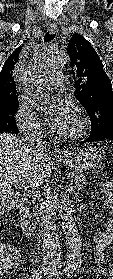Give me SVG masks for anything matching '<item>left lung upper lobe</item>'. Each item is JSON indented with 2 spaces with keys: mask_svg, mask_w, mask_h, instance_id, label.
Instances as JSON below:
<instances>
[{
  "mask_svg": "<svg viewBox=\"0 0 113 279\" xmlns=\"http://www.w3.org/2000/svg\"><path fill=\"white\" fill-rule=\"evenodd\" d=\"M67 52L75 76V97L83 105L91 120V133L96 134L113 126V91L111 80L92 45L75 34Z\"/></svg>",
  "mask_w": 113,
  "mask_h": 279,
  "instance_id": "left-lung-upper-lobe-1",
  "label": "left lung upper lobe"
}]
</instances>
